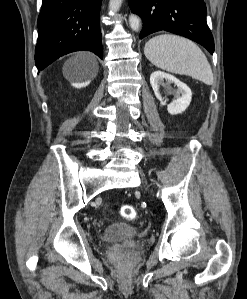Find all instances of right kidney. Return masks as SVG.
Here are the masks:
<instances>
[{
  "label": "right kidney",
  "mask_w": 247,
  "mask_h": 299,
  "mask_svg": "<svg viewBox=\"0 0 247 299\" xmlns=\"http://www.w3.org/2000/svg\"><path fill=\"white\" fill-rule=\"evenodd\" d=\"M88 84H89V82H86V83H81V84H74V86L77 87V88H81V87H84Z\"/></svg>",
  "instance_id": "ca27d5eb"
}]
</instances>
